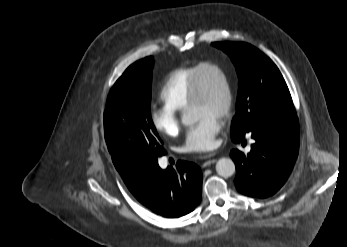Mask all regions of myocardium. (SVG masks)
Listing matches in <instances>:
<instances>
[{
    "label": "myocardium",
    "mask_w": 347,
    "mask_h": 247,
    "mask_svg": "<svg viewBox=\"0 0 347 247\" xmlns=\"http://www.w3.org/2000/svg\"><path fill=\"white\" fill-rule=\"evenodd\" d=\"M206 70L216 71L223 79L226 99L221 118H227L230 116L234 105V88L228 71L222 65L213 61H204L198 64L191 84L187 108L201 102L203 94L202 76Z\"/></svg>",
    "instance_id": "obj_1"
}]
</instances>
